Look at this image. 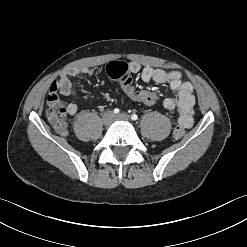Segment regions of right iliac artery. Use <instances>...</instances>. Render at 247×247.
<instances>
[{"mask_svg":"<svg viewBox=\"0 0 247 247\" xmlns=\"http://www.w3.org/2000/svg\"><path fill=\"white\" fill-rule=\"evenodd\" d=\"M114 113H115V114H118V113H120V110H119L118 108H115V109H114Z\"/></svg>","mask_w":247,"mask_h":247,"instance_id":"1","label":"right iliac artery"}]
</instances>
